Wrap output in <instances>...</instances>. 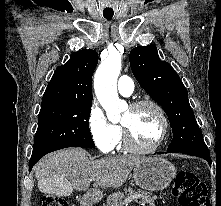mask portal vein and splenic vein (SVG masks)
Segmentation results:
<instances>
[{
	"label": "portal vein and splenic vein",
	"instance_id": "portal-vein-and-splenic-vein-1",
	"mask_svg": "<svg viewBox=\"0 0 221 206\" xmlns=\"http://www.w3.org/2000/svg\"><path fill=\"white\" fill-rule=\"evenodd\" d=\"M138 198H140L139 195L131 196L130 198L126 199V203H129V202H131L133 200H137Z\"/></svg>",
	"mask_w": 221,
	"mask_h": 206
}]
</instances>
